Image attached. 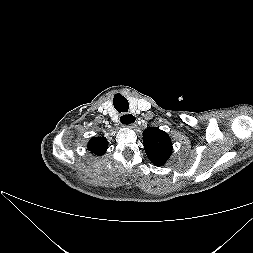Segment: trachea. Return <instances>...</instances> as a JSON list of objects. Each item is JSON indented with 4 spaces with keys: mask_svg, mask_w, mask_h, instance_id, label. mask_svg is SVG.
<instances>
[{
    "mask_svg": "<svg viewBox=\"0 0 253 253\" xmlns=\"http://www.w3.org/2000/svg\"><path fill=\"white\" fill-rule=\"evenodd\" d=\"M113 105L119 113L127 112L129 108L127 99L120 94L115 95L113 99Z\"/></svg>",
    "mask_w": 253,
    "mask_h": 253,
    "instance_id": "trachea-1",
    "label": "trachea"
}]
</instances>
